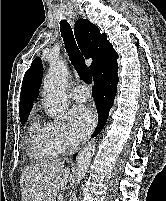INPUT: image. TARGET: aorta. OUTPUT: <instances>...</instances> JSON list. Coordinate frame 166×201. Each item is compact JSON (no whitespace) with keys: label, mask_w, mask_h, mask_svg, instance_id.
<instances>
[{"label":"aorta","mask_w":166,"mask_h":201,"mask_svg":"<svg viewBox=\"0 0 166 201\" xmlns=\"http://www.w3.org/2000/svg\"><path fill=\"white\" fill-rule=\"evenodd\" d=\"M68 70L64 61L54 62L44 79V102L49 116L62 120L68 110L66 96ZM95 152V142L88 143L77 158V183L85 177Z\"/></svg>","instance_id":"aorta-1"}]
</instances>
